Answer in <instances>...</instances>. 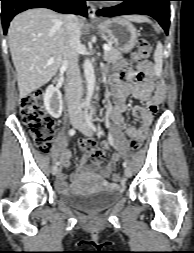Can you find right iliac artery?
Segmentation results:
<instances>
[{"label": "right iliac artery", "mask_w": 194, "mask_h": 253, "mask_svg": "<svg viewBox=\"0 0 194 253\" xmlns=\"http://www.w3.org/2000/svg\"><path fill=\"white\" fill-rule=\"evenodd\" d=\"M75 133H76V130L74 128L69 130V135L70 136H73ZM59 165H60V161H57L56 166H59Z\"/></svg>", "instance_id": "82829eb1"}]
</instances>
